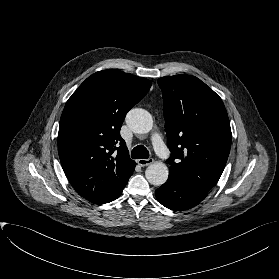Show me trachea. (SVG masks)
I'll return each mask as SVG.
<instances>
[{"label": "trachea", "mask_w": 279, "mask_h": 279, "mask_svg": "<svg viewBox=\"0 0 279 279\" xmlns=\"http://www.w3.org/2000/svg\"><path fill=\"white\" fill-rule=\"evenodd\" d=\"M131 157L133 159H148L149 151L143 145H138L132 150Z\"/></svg>", "instance_id": "3493384b"}]
</instances>
